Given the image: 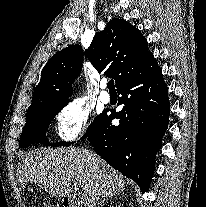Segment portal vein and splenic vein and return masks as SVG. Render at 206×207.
<instances>
[{"instance_id":"1","label":"portal vein and splenic vein","mask_w":206,"mask_h":207,"mask_svg":"<svg viewBox=\"0 0 206 207\" xmlns=\"http://www.w3.org/2000/svg\"><path fill=\"white\" fill-rule=\"evenodd\" d=\"M74 185H76V183H74ZM83 201H85V204H87V201L83 199V197H81Z\"/></svg>"}]
</instances>
